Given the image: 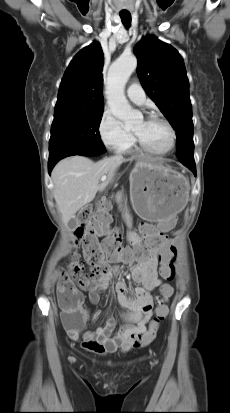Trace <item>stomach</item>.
I'll return each instance as SVG.
<instances>
[{"label":"stomach","instance_id":"1","mask_svg":"<svg viewBox=\"0 0 230 413\" xmlns=\"http://www.w3.org/2000/svg\"><path fill=\"white\" fill-rule=\"evenodd\" d=\"M129 179L131 203L141 218L160 222L177 215L188 202L187 178L153 159L137 162Z\"/></svg>","mask_w":230,"mask_h":413}]
</instances>
